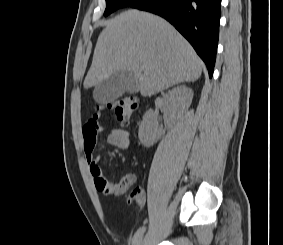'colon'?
<instances>
[{
	"mask_svg": "<svg viewBox=\"0 0 283 245\" xmlns=\"http://www.w3.org/2000/svg\"><path fill=\"white\" fill-rule=\"evenodd\" d=\"M138 107V100L135 97H122L114 102L98 105L97 112L92 118H98L99 112L105 109L114 111L118 121L126 125L129 122L130 117L136 111ZM128 200L137 204L142 201V194L138 188L131 189L128 193Z\"/></svg>",
	"mask_w": 283,
	"mask_h": 245,
	"instance_id": "obj_1",
	"label": "colon"
}]
</instances>
